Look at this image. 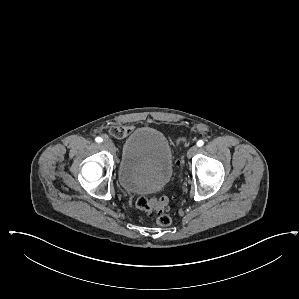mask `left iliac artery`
Instances as JSON below:
<instances>
[{
	"label": "left iliac artery",
	"instance_id": "left-iliac-artery-1",
	"mask_svg": "<svg viewBox=\"0 0 299 299\" xmlns=\"http://www.w3.org/2000/svg\"><path fill=\"white\" fill-rule=\"evenodd\" d=\"M203 144H204V141H203V140H199V141L197 142V146H198V147L203 146Z\"/></svg>",
	"mask_w": 299,
	"mask_h": 299
}]
</instances>
